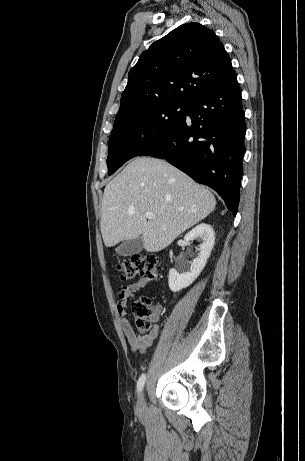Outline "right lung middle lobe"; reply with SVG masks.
I'll list each match as a JSON object with an SVG mask.
<instances>
[{"instance_id":"1","label":"right lung middle lobe","mask_w":305,"mask_h":461,"mask_svg":"<svg viewBox=\"0 0 305 461\" xmlns=\"http://www.w3.org/2000/svg\"><path fill=\"white\" fill-rule=\"evenodd\" d=\"M188 108L186 103H166L116 121L109 139L108 175L167 138L184 121Z\"/></svg>"}]
</instances>
